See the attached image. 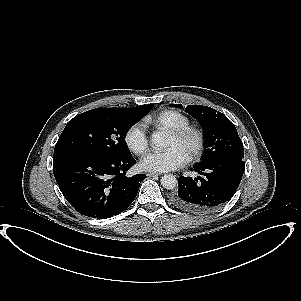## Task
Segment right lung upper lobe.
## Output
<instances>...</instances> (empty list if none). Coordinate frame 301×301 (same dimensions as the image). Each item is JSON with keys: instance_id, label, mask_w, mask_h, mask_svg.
I'll list each match as a JSON object with an SVG mask.
<instances>
[{"instance_id": "1", "label": "right lung upper lobe", "mask_w": 301, "mask_h": 301, "mask_svg": "<svg viewBox=\"0 0 301 301\" xmlns=\"http://www.w3.org/2000/svg\"><path fill=\"white\" fill-rule=\"evenodd\" d=\"M152 104H149V105H141V106H137L133 109H144V110H150L152 108Z\"/></svg>"}]
</instances>
